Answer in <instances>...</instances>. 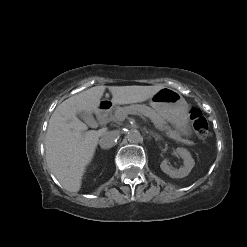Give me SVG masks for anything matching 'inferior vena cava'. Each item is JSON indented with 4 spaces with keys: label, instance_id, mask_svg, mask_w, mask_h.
<instances>
[{
    "label": "inferior vena cava",
    "instance_id": "inferior-vena-cava-1",
    "mask_svg": "<svg viewBox=\"0 0 247 247\" xmlns=\"http://www.w3.org/2000/svg\"><path fill=\"white\" fill-rule=\"evenodd\" d=\"M118 138H119L118 131H108L101 136L99 140V144L102 149H109L115 145L116 140Z\"/></svg>",
    "mask_w": 247,
    "mask_h": 247
}]
</instances>
